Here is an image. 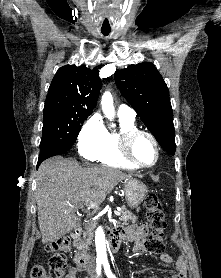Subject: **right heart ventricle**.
Instances as JSON below:
<instances>
[{
    "instance_id": "obj_1",
    "label": "right heart ventricle",
    "mask_w": 221,
    "mask_h": 278,
    "mask_svg": "<svg viewBox=\"0 0 221 278\" xmlns=\"http://www.w3.org/2000/svg\"><path fill=\"white\" fill-rule=\"evenodd\" d=\"M119 122V131H107L104 146L96 160L107 166L132 169L135 167L124 161L119 153V137L122 133L137 127L134 120L128 118L119 117Z\"/></svg>"
}]
</instances>
